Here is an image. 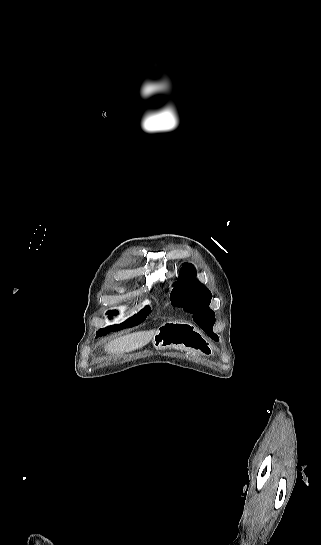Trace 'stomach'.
Masks as SVG:
<instances>
[{
    "instance_id": "1",
    "label": "stomach",
    "mask_w": 321,
    "mask_h": 545,
    "mask_svg": "<svg viewBox=\"0 0 321 545\" xmlns=\"http://www.w3.org/2000/svg\"><path fill=\"white\" fill-rule=\"evenodd\" d=\"M153 347L157 351L164 349H181L194 355H207L204 349H208V341L199 329L192 323L181 321H169L159 327L153 337Z\"/></svg>"
}]
</instances>
